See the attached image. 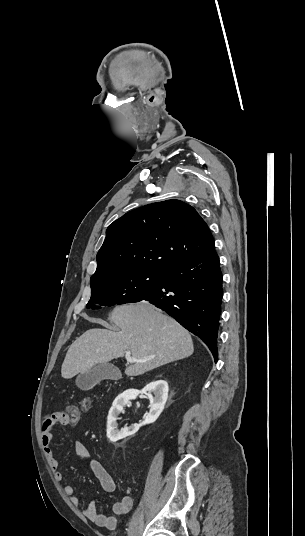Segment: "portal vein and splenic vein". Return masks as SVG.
I'll return each instance as SVG.
<instances>
[{
  "instance_id": "1",
  "label": "portal vein and splenic vein",
  "mask_w": 305,
  "mask_h": 536,
  "mask_svg": "<svg viewBox=\"0 0 305 536\" xmlns=\"http://www.w3.org/2000/svg\"><path fill=\"white\" fill-rule=\"evenodd\" d=\"M125 358L127 362H131V364H135V362H141V360H135V358H132L131 354H125Z\"/></svg>"
}]
</instances>
